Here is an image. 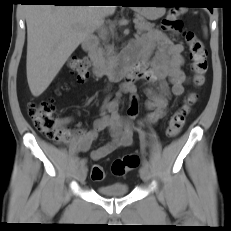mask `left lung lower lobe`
Wrapping results in <instances>:
<instances>
[{"label":"left lung lower lobe","mask_w":231,"mask_h":231,"mask_svg":"<svg viewBox=\"0 0 231 231\" xmlns=\"http://www.w3.org/2000/svg\"><path fill=\"white\" fill-rule=\"evenodd\" d=\"M208 9H209L211 12H213V8H212V7H208Z\"/></svg>","instance_id":"1"}]
</instances>
